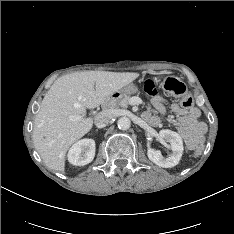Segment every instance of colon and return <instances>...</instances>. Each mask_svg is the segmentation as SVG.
<instances>
[{
	"label": "colon",
	"mask_w": 234,
	"mask_h": 234,
	"mask_svg": "<svg viewBox=\"0 0 234 234\" xmlns=\"http://www.w3.org/2000/svg\"><path fill=\"white\" fill-rule=\"evenodd\" d=\"M163 89L166 92L176 96L184 108H189L193 105L192 96L188 94L186 86L179 80L171 77L165 79L163 82ZM144 90L148 95H157L156 85L152 80L145 82ZM191 149L193 150L194 156H199L202 152V147L200 145H195Z\"/></svg>",
	"instance_id": "1"
}]
</instances>
